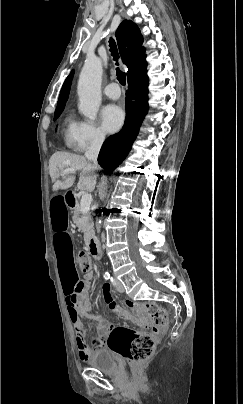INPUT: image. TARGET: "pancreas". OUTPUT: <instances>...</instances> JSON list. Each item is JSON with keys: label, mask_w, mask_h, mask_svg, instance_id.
Returning <instances> with one entry per match:
<instances>
[{"label": "pancreas", "mask_w": 243, "mask_h": 404, "mask_svg": "<svg viewBox=\"0 0 243 404\" xmlns=\"http://www.w3.org/2000/svg\"><path fill=\"white\" fill-rule=\"evenodd\" d=\"M77 228H80L84 234V242L88 244L91 236L94 234L93 224H91L90 214H84L81 210V206H77L74 210V216L72 218Z\"/></svg>", "instance_id": "obj_1"}]
</instances>
